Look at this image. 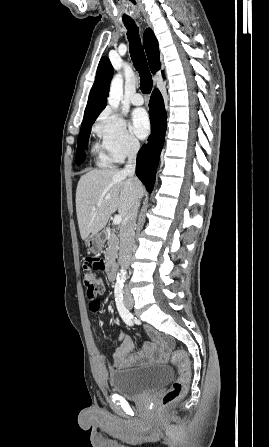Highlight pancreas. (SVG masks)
Returning <instances> with one entry per match:
<instances>
[{
	"label": "pancreas",
	"mask_w": 269,
	"mask_h": 447,
	"mask_svg": "<svg viewBox=\"0 0 269 447\" xmlns=\"http://www.w3.org/2000/svg\"><path fill=\"white\" fill-rule=\"evenodd\" d=\"M105 233H107V245L106 253H105V265L106 267H111L112 263H115L116 257H118V249H119V239L116 233L110 231L109 227H107Z\"/></svg>",
	"instance_id": "1"
}]
</instances>
